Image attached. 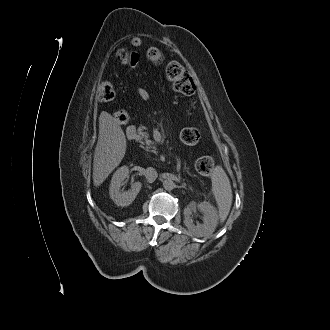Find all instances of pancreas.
Wrapping results in <instances>:
<instances>
[{"mask_svg": "<svg viewBox=\"0 0 330 330\" xmlns=\"http://www.w3.org/2000/svg\"><path fill=\"white\" fill-rule=\"evenodd\" d=\"M141 138H144V141H145L144 143L145 144H147L148 146H150L151 148H153V144L154 143L151 140L148 139V134H145L144 133L143 136H141ZM150 147H147V149L150 148ZM151 151L154 152V150H151Z\"/></svg>", "mask_w": 330, "mask_h": 330, "instance_id": "obj_1", "label": "pancreas"}]
</instances>
